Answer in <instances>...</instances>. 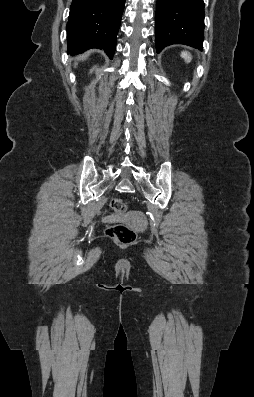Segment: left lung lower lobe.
Returning <instances> with one entry per match:
<instances>
[{
  "instance_id": "left-lung-lower-lobe-1",
  "label": "left lung lower lobe",
  "mask_w": 254,
  "mask_h": 397,
  "mask_svg": "<svg viewBox=\"0 0 254 397\" xmlns=\"http://www.w3.org/2000/svg\"><path fill=\"white\" fill-rule=\"evenodd\" d=\"M155 33L158 53L172 44H184L202 50L203 0H157Z\"/></svg>"
}]
</instances>
